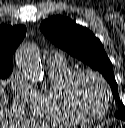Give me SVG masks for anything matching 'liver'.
<instances>
[{"mask_svg":"<svg viewBox=\"0 0 125 128\" xmlns=\"http://www.w3.org/2000/svg\"><path fill=\"white\" fill-rule=\"evenodd\" d=\"M7 96L4 92V89L0 85V128H8L12 125L11 116L7 108ZM48 128V126H43Z\"/></svg>","mask_w":125,"mask_h":128,"instance_id":"1","label":"liver"}]
</instances>
